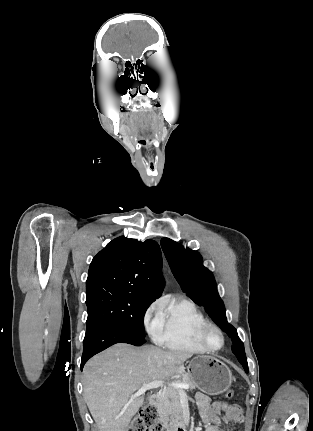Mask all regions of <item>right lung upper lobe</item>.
Returning a JSON list of instances; mask_svg holds the SVG:
<instances>
[{
    "mask_svg": "<svg viewBox=\"0 0 313 431\" xmlns=\"http://www.w3.org/2000/svg\"><path fill=\"white\" fill-rule=\"evenodd\" d=\"M164 286L162 257L157 242L119 237L92 260L86 281V295L126 290L157 299Z\"/></svg>",
    "mask_w": 313,
    "mask_h": 431,
    "instance_id": "1",
    "label": "right lung upper lobe"
}]
</instances>
